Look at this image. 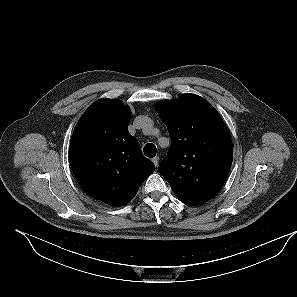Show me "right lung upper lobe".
<instances>
[{
  "label": "right lung upper lobe",
  "instance_id": "obj_1",
  "mask_svg": "<svg viewBox=\"0 0 297 297\" xmlns=\"http://www.w3.org/2000/svg\"><path fill=\"white\" fill-rule=\"evenodd\" d=\"M130 108L100 99L79 119L69 147L73 174L92 198L118 207L127 204L155 165L130 135Z\"/></svg>",
  "mask_w": 297,
  "mask_h": 297
}]
</instances>
